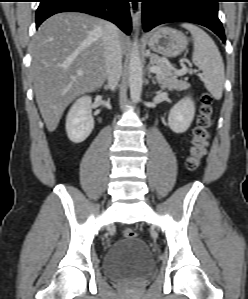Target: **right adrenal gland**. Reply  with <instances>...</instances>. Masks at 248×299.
Instances as JSON below:
<instances>
[{
	"mask_svg": "<svg viewBox=\"0 0 248 299\" xmlns=\"http://www.w3.org/2000/svg\"><path fill=\"white\" fill-rule=\"evenodd\" d=\"M104 89H105V90H108V89H109V86H108V85H104Z\"/></svg>",
	"mask_w": 248,
	"mask_h": 299,
	"instance_id": "1",
	"label": "right adrenal gland"
}]
</instances>
